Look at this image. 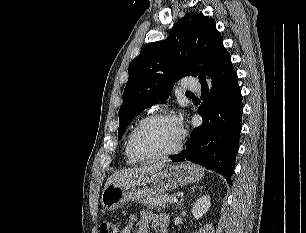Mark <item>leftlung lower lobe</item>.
<instances>
[{
    "label": "left lung lower lobe",
    "instance_id": "left-lung-lower-lobe-1",
    "mask_svg": "<svg viewBox=\"0 0 306 233\" xmlns=\"http://www.w3.org/2000/svg\"><path fill=\"white\" fill-rule=\"evenodd\" d=\"M209 75L213 79L210 96H207L205 79L200 81L203 103L198 113L203 116V123L192 131L185 150L171 159H187L214 170L222 174L231 186L243 106L237 74L228 52L220 58Z\"/></svg>",
    "mask_w": 306,
    "mask_h": 233
}]
</instances>
